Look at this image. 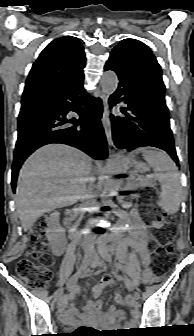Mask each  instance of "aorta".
I'll use <instances>...</instances> for the list:
<instances>
[{
	"instance_id": "1",
	"label": "aorta",
	"mask_w": 194,
	"mask_h": 336,
	"mask_svg": "<svg viewBox=\"0 0 194 336\" xmlns=\"http://www.w3.org/2000/svg\"><path fill=\"white\" fill-rule=\"evenodd\" d=\"M118 85V78L115 72L107 71L101 78L102 91L106 95L113 94ZM126 171V161L122 156L115 159L108 169V176L104 184V193L106 196L105 203L108 205L113 204L112 197L118 195L121 186L120 176Z\"/></svg>"
}]
</instances>
